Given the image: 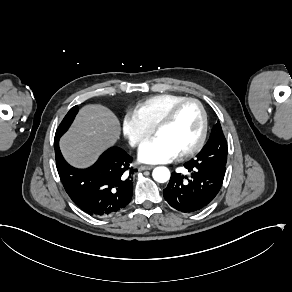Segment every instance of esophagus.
Returning a JSON list of instances; mask_svg holds the SVG:
<instances>
[{"label":"esophagus","mask_w":292,"mask_h":292,"mask_svg":"<svg viewBox=\"0 0 292 292\" xmlns=\"http://www.w3.org/2000/svg\"><path fill=\"white\" fill-rule=\"evenodd\" d=\"M154 167L155 166H153V165H141L138 169H139V171H142V170H151Z\"/></svg>","instance_id":"34e87169"}]
</instances>
